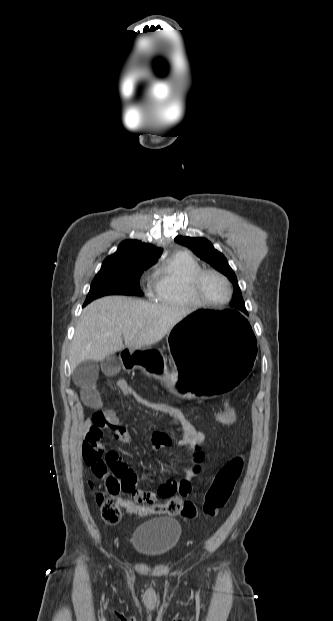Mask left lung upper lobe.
Listing matches in <instances>:
<instances>
[{
	"instance_id": "obj_1",
	"label": "left lung upper lobe",
	"mask_w": 333,
	"mask_h": 621,
	"mask_svg": "<svg viewBox=\"0 0 333 621\" xmlns=\"http://www.w3.org/2000/svg\"><path fill=\"white\" fill-rule=\"evenodd\" d=\"M178 244L191 249L200 259L209 263L216 270L224 274L233 283L235 293L230 303L231 309L238 312L247 313L245 303L243 301L240 288L238 286L237 278L229 266L226 258L222 253L218 252L210 241L200 237H183L178 235L175 238Z\"/></svg>"
}]
</instances>
